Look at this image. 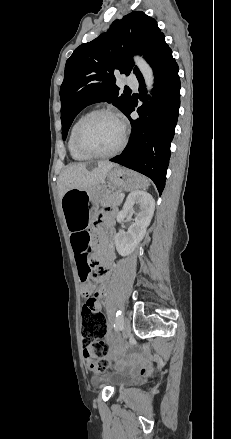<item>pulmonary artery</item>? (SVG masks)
<instances>
[{
  "label": "pulmonary artery",
  "mask_w": 231,
  "mask_h": 439,
  "mask_svg": "<svg viewBox=\"0 0 231 439\" xmlns=\"http://www.w3.org/2000/svg\"><path fill=\"white\" fill-rule=\"evenodd\" d=\"M126 84L130 87L136 88L138 86V80L136 79V77L134 75H129L126 78Z\"/></svg>",
  "instance_id": "1"
}]
</instances>
